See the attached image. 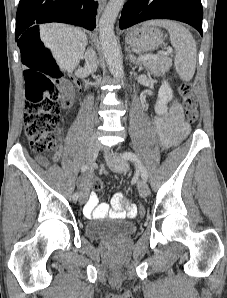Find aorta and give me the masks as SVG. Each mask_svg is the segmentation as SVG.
<instances>
[{
    "mask_svg": "<svg viewBox=\"0 0 227 298\" xmlns=\"http://www.w3.org/2000/svg\"><path fill=\"white\" fill-rule=\"evenodd\" d=\"M125 0H109L99 21L101 49L111 74L120 79L124 76L122 57L114 33V24Z\"/></svg>",
    "mask_w": 227,
    "mask_h": 298,
    "instance_id": "1",
    "label": "aorta"
}]
</instances>
